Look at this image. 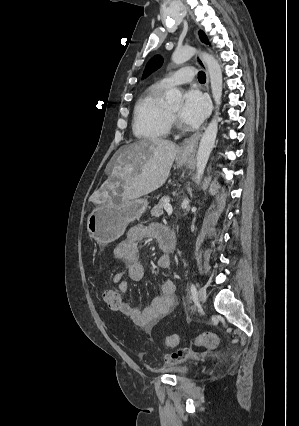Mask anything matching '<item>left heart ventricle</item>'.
<instances>
[{
	"label": "left heart ventricle",
	"mask_w": 299,
	"mask_h": 426,
	"mask_svg": "<svg viewBox=\"0 0 299 426\" xmlns=\"http://www.w3.org/2000/svg\"><path fill=\"white\" fill-rule=\"evenodd\" d=\"M172 109L173 112H175L176 114L179 112L181 106L180 105H174L170 107Z\"/></svg>",
	"instance_id": "left-heart-ventricle-1"
}]
</instances>
